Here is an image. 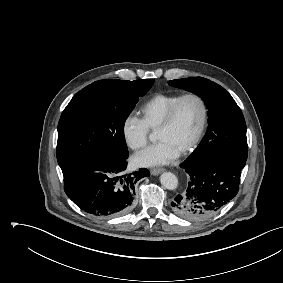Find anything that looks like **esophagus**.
<instances>
[{
    "mask_svg": "<svg viewBox=\"0 0 283 283\" xmlns=\"http://www.w3.org/2000/svg\"><path fill=\"white\" fill-rule=\"evenodd\" d=\"M165 169L164 168H154V169H151V174L152 175H158L160 173H162Z\"/></svg>",
    "mask_w": 283,
    "mask_h": 283,
    "instance_id": "esophagus-1",
    "label": "esophagus"
}]
</instances>
